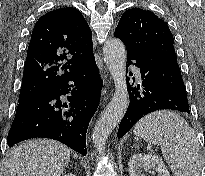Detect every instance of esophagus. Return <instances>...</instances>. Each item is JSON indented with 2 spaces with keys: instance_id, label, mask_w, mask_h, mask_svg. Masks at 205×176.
Segmentation results:
<instances>
[{
  "instance_id": "1",
  "label": "esophagus",
  "mask_w": 205,
  "mask_h": 176,
  "mask_svg": "<svg viewBox=\"0 0 205 176\" xmlns=\"http://www.w3.org/2000/svg\"><path fill=\"white\" fill-rule=\"evenodd\" d=\"M104 78H105V80H106V75L104 76ZM106 81H105V86H106ZM106 94V88H104L103 90H102V95H105Z\"/></svg>"
}]
</instances>
